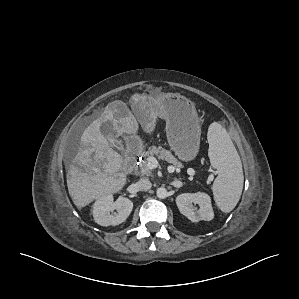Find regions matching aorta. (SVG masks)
I'll return each mask as SVG.
<instances>
[{
    "label": "aorta",
    "mask_w": 299,
    "mask_h": 299,
    "mask_svg": "<svg viewBox=\"0 0 299 299\" xmlns=\"http://www.w3.org/2000/svg\"><path fill=\"white\" fill-rule=\"evenodd\" d=\"M157 197L160 199H165L168 196V192L164 187H160L156 191Z\"/></svg>",
    "instance_id": "aorta-1"
}]
</instances>
